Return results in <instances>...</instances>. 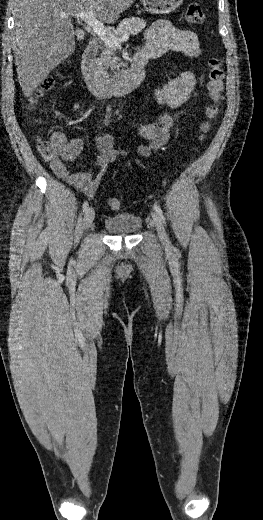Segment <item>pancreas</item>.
Masks as SVG:
<instances>
[{"label":"pancreas","instance_id":"pancreas-1","mask_svg":"<svg viewBox=\"0 0 263 520\" xmlns=\"http://www.w3.org/2000/svg\"><path fill=\"white\" fill-rule=\"evenodd\" d=\"M145 27L146 22L141 18H125L119 23L113 34L115 37H121L126 33L129 35H136ZM100 49V57L96 59L97 67L105 78H109L110 75L107 73V69H118L121 66L120 59L116 56V47H111L106 43H102Z\"/></svg>","mask_w":263,"mask_h":520}]
</instances>
